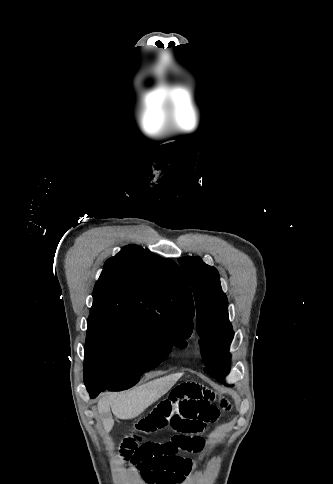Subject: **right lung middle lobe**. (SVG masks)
Wrapping results in <instances>:
<instances>
[{
    "instance_id": "1",
    "label": "right lung middle lobe",
    "mask_w": 333,
    "mask_h": 484,
    "mask_svg": "<svg viewBox=\"0 0 333 484\" xmlns=\"http://www.w3.org/2000/svg\"><path fill=\"white\" fill-rule=\"evenodd\" d=\"M192 330L180 320H148L91 313L85 344L84 382L101 390L128 389L155 368L172 347L185 348Z\"/></svg>"
}]
</instances>
